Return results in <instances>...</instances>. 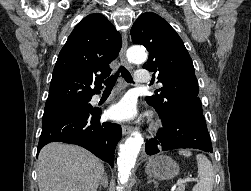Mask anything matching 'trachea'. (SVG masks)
<instances>
[{
    "mask_svg": "<svg viewBox=\"0 0 251 191\" xmlns=\"http://www.w3.org/2000/svg\"><path fill=\"white\" fill-rule=\"evenodd\" d=\"M119 73H121L122 78H124L127 83H134L131 73H129V71L124 66H120L118 73H116L114 76H111L110 78H107V80L104 81L106 89L113 88Z\"/></svg>",
    "mask_w": 251,
    "mask_h": 191,
    "instance_id": "obj_1",
    "label": "trachea"
}]
</instances>
